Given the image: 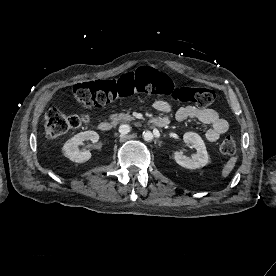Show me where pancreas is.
Wrapping results in <instances>:
<instances>
[{
	"label": "pancreas",
	"instance_id": "pancreas-1",
	"mask_svg": "<svg viewBox=\"0 0 276 276\" xmlns=\"http://www.w3.org/2000/svg\"><path fill=\"white\" fill-rule=\"evenodd\" d=\"M110 119L112 120V124L116 125L118 122L125 123L131 120H134V117H132L129 114L120 113V114H112L110 116Z\"/></svg>",
	"mask_w": 276,
	"mask_h": 276
}]
</instances>
